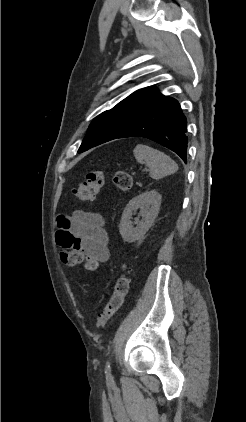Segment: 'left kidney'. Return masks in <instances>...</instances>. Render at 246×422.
<instances>
[{
	"mask_svg": "<svg viewBox=\"0 0 246 422\" xmlns=\"http://www.w3.org/2000/svg\"><path fill=\"white\" fill-rule=\"evenodd\" d=\"M161 194L156 190L146 191L129 201L125 207L119 224V232L124 241L133 243L144 238L146 232L153 225L158 216L161 205ZM140 209L139 215L142 217L131 221L133 212Z\"/></svg>",
	"mask_w": 246,
	"mask_h": 422,
	"instance_id": "left-kidney-1",
	"label": "left kidney"
}]
</instances>
